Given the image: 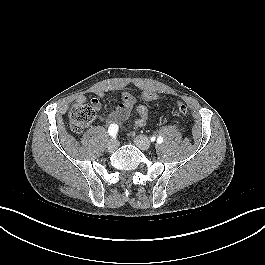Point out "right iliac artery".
Returning a JSON list of instances; mask_svg holds the SVG:
<instances>
[{
  "mask_svg": "<svg viewBox=\"0 0 265 265\" xmlns=\"http://www.w3.org/2000/svg\"><path fill=\"white\" fill-rule=\"evenodd\" d=\"M117 132H118V125L117 124H111L109 126V129H108L109 135L112 136L113 138H115L117 135Z\"/></svg>",
  "mask_w": 265,
  "mask_h": 265,
  "instance_id": "obj_1",
  "label": "right iliac artery"
}]
</instances>
